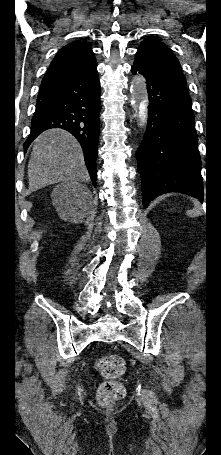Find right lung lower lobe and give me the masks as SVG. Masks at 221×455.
Returning <instances> with one entry per match:
<instances>
[{
    "instance_id": "1",
    "label": "right lung lower lobe",
    "mask_w": 221,
    "mask_h": 455,
    "mask_svg": "<svg viewBox=\"0 0 221 455\" xmlns=\"http://www.w3.org/2000/svg\"><path fill=\"white\" fill-rule=\"evenodd\" d=\"M92 50L78 52L51 66L42 80L31 133L25 149L44 130L63 128L79 141L93 185L101 110L100 81Z\"/></svg>"
}]
</instances>
